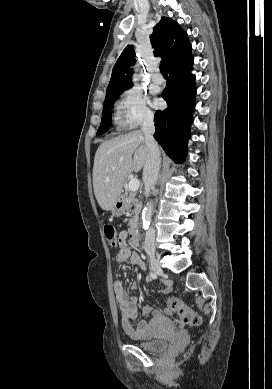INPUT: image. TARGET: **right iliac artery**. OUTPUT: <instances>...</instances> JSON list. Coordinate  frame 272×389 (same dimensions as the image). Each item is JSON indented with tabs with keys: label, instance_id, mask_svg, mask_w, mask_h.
Wrapping results in <instances>:
<instances>
[{
	"label": "right iliac artery",
	"instance_id": "82829eb1",
	"mask_svg": "<svg viewBox=\"0 0 272 389\" xmlns=\"http://www.w3.org/2000/svg\"><path fill=\"white\" fill-rule=\"evenodd\" d=\"M156 277H157L156 274H154V273L151 272V273L148 275L147 280L150 281V280H152V279H155Z\"/></svg>",
	"mask_w": 272,
	"mask_h": 389
}]
</instances>
